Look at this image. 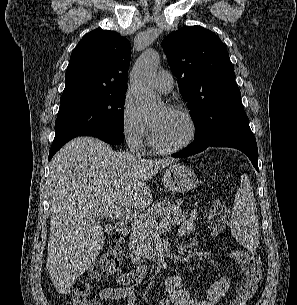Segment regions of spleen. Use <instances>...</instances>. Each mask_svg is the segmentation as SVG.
<instances>
[{
  "instance_id": "obj_1",
  "label": "spleen",
  "mask_w": 297,
  "mask_h": 305,
  "mask_svg": "<svg viewBox=\"0 0 297 305\" xmlns=\"http://www.w3.org/2000/svg\"><path fill=\"white\" fill-rule=\"evenodd\" d=\"M233 236L249 249L259 244V223L253 190L247 174H242L241 184L235 195L231 216Z\"/></svg>"
}]
</instances>
